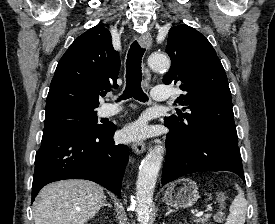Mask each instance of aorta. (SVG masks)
Returning a JSON list of instances; mask_svg holds the SVG:
<instances>
[{"instance_id":"762f6f07","label":"aorta","mask_w":275,"mask_h":224,"mask_svg":"<svg viewBox=\"0 0 275 224\" xmlns=\"http://www.w3.org/2000/svg\"><path fill=\"white\" fill-rule=\"evenodd\" d=\"M148 65L154 71H167L170 60L163 54H151ZM163 147L160 145L150 149L142 160L136 184L137 220L141 224H148L151 214L153 191L163 160Z\"/></svg>"}]
</instances>
